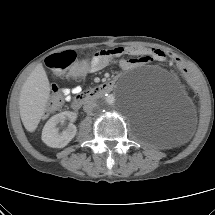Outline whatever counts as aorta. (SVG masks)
I'll use <instances>...</instances> for the list:
<instances>
[{
	"label": "aorta",
	"instance_id": "obj_1",
	"mask_svg": "<svg viewBox=\"0 0 215 215\" xmlns=\"http://www.w3.org/2000/svg\"><path fill=\"white\" fill-rule=\"evenodd\" d=\"M98 103L102 109H111L114 107L115 97L113 95H108L106 97L101 98Z\"/></svg>",
	"mask_w": 215,
	"mask_h": 215
}]
</instances>
